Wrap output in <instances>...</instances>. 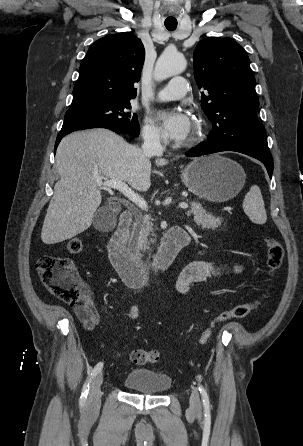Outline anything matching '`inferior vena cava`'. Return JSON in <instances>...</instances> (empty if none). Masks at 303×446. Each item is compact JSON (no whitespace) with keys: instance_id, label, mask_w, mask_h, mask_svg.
<instances>
[{"instance_id":"inferior-vena-cava-1","label":"inferior vena cava","mask_w":303,"mask_h":446,"mask_svg":"<svg viewBox=\"0 0 303 446\" xmlns=\"http://www.w3.org/2000/svg\"><path fill=\"white\" fill-rule=\"evenodd\" d=\"M142 152L146 156L162 155L164 148L160 143V139L157 135L151 134L144 138L142 145Z\"/></svg>"}]
</instances>
